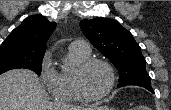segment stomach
Here are the masks:
<instances>
[{
  "label": "stomach",
  "instance_id": "0dacf381",
  "mask_svg": "<svg viewBox=\"0 0 171 110\" xmlns=\"http://www.w3.org/2000/svg\"><path fill=\"white\" fill-rule=\"evenodd\" d=\"M89 110H112V109H109L108 107H93V108H90Z\"/></svg>",
  "mask_w": 171,
  "mask_h": 110
}]
</instances>
